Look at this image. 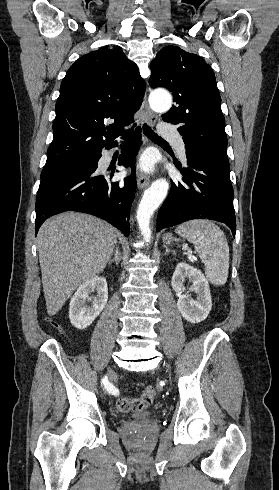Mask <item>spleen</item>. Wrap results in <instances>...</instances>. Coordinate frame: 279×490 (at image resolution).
Masks as SVG:
<instances>
[{
	"instance_id": "obj_1",
	"label": "spleen",
	"mask_w": 279,
	"mask_h": 490,
	"mask_svg": "<svg viewBox=\"0 0 279 490\" xmlns=\"http://www.w3.org/2000/svg\"><path fill=\"white\" fill-rule=\"evenodd\" d=\"M175 232L193 244L205 264L208 282L224 286L229 274V246L222 230L209 220H191L178 226Z\"/></svg>"
}]
</instances>
